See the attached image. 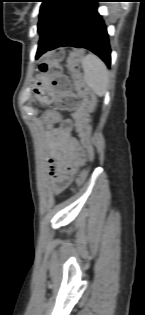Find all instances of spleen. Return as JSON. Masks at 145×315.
<instances>
[{"instance_id":"1","label":"spleen","mask_w":145,"mask_h":315,"mask_svg":"<svg viewBox=\"0 0 145 315\" xmlns=\"http://www.w3.org/2000/svg\"><path fill=\"white\" fill-rule=\"evenodd\" d=\"M84 80L99 97L105 95L109 83L108 70L104 62L93 53L82 58Z\"/></svg>"}]
</instances>
